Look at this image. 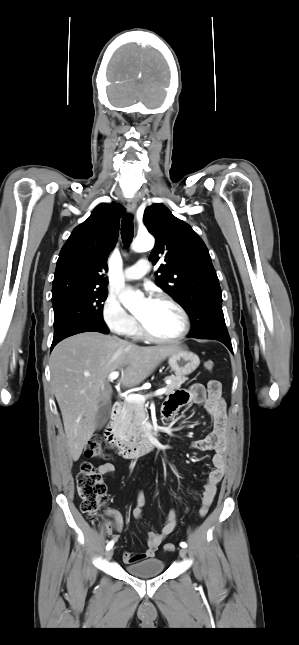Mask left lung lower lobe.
Instances as JSON below:
<instances>
[{
    "label": "left lung lower lobe",
    "mask_w": 299,
    "mask_h": 645,
    "mask_svg": "<svg viewBox=\"0 0 299 645\" xmlns=\"http://www.w3.org/2000/svg\"><path fill=\"white\" fill-rule=\"evenodd\" d=\"M189 338H199V339H215L227 346V348L233 353L231 340L225 325L224 319L217 320L215 326L210 330L199 336L188 335Z\"/></svg>",
    "instance_id": "obj_1"
}]
</instances>
